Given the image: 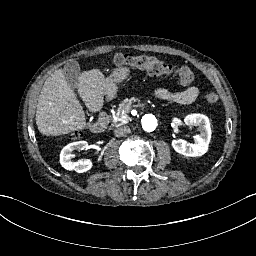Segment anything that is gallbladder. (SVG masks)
Returning a JSON list of instances; mask_svg holds the SVG:
<instances>
[{
    "label": "gallbladder",
    "instance_id": "bac80fb5",
    "mask_svg": "<svg viewBox=\"0 0 256 256\" xmlns=\"http://www.w3.org/2000/svg\"><path fill=\"white\" fill-rule=\"evenodd\" d=\"M63 74L65 80L70 85L71 89H75L79 83V77L81 76V70L79 63L76 60L68 61L63 68Z\"/></svg>",
    "mask_w": 256,
    "mask_h": 256
}]
</instances>
